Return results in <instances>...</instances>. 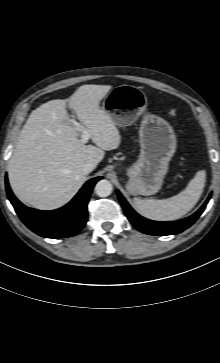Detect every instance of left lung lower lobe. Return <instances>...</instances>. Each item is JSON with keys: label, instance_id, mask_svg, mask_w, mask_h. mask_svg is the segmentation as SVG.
I'll return each instance as SVG.
<instances>
[{"label": "left lung lower lobe", "instance_id": "1", "mask_svg": "<svg viewBox=\"0 0 220 363\" xmlns=\"http://www.w3.org/2000/svg\"><path fill=\"white\" fill-rule=\"evenodd\" d=\"M117 195L129 221L139 231L145 234L158 235V236L178 234L184 231L185 229L189 228L202 214L208 201L211 198L210 195L203 204V206L188 218L174 222H157L145 219L139 214H137L127 203V201L124 199V197L121 195L119 191H117Z\"/></svg>", "mask_w": 220, "mask_h": 363}]
</instances>
